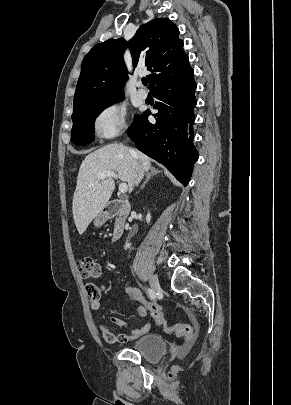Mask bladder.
<instances>
[{
	"label": "bladder",
	"mask_w": 291,
	"mask_h": 405,
	"mask_svg": "<svg viewBox=\"0 0 291 405\" xmlns=\"http://www.w3.org/2000/svg\"><path fill=\"white\" fill-rule=\"evenodd\" d=\"M130 349L150 362H157L166 354L167 343L161 335L147 333L134 340Z\"/></svg>",
	"instance_id": "31cf9c89"
}]
</instances>
